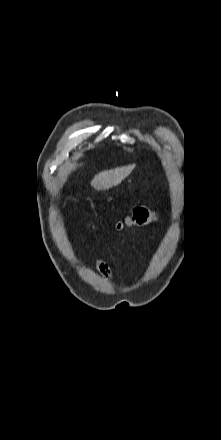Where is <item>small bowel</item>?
Returning <instances> with one entry per match:
<instances>
[{
    "label": "small bowel",
    "instance_id": "1",
    "mask_svg": "<svg viewBox=\"0 0 221 440\" xmlns=\"http://www.w3.org/2000/svg\"><path fill=\"white\" fill-rule=\"evenodd\" d=\"M96 269L106 282L111 283L113 281L112 270L105 260H98L96 262Z\"/></svg>",
    "mask_w": 221,
    "mask_h": 440
}]
</instances>
